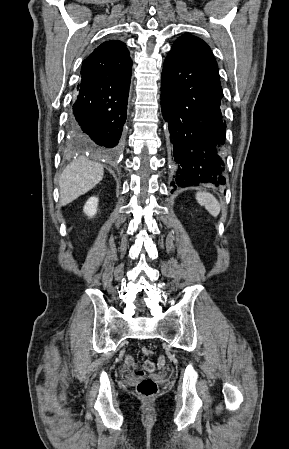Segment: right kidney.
<instances>
[{"label": "right kidney", "mask_w": 289, "mask_h": 449, "mask_svg": "<svg viewBox=\"0 0 289 449\" xmlns=\"http://www.w3.org/2000/svg\"><path fill=\"white\" fill-rule=\"evenodd\" d=\"M98 201V198L95 196L90 197L87 200L83 208V211L87 216L93 217L97 213Z\"/></svg>", "instance_id": "ca27d5eb"}]
</instances>
